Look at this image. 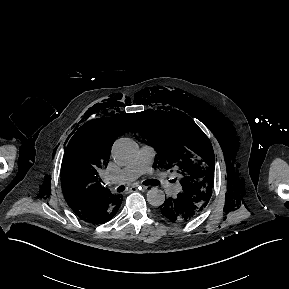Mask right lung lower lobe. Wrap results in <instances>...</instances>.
Masks as SVG:
<instances>
[{
	"label": "right lung lower lobe",
	"instance_id": "1",
	"mask_svg": "<svg viewBox=\"0 0 289 289\" xmlns=\"http://www.w3.org/2000/svg\"><path fill=\"white\" fill-rule=\"evenodd\" d=\"M122 199L123 197L119 196L115 201H104L98 213L93 218L86 219L84 221L93 224H102L109 221L118 211L122 203Z\"/></svg>",
	"mask_w": 289,
	"mask_h": 289
}]
</instances>
